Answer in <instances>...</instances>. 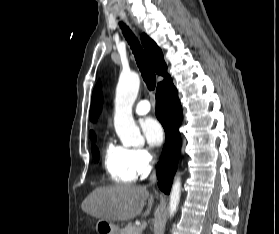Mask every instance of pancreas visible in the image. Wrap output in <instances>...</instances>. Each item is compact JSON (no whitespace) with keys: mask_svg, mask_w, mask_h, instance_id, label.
Instances as JSON below:
<instances>
[{"mask_svg":"<svg viewBox=\"0 0 279 234\" xmlns=\"http://www.w3.org/2000/svg\"><path fill=\"white\" fill-rule=\"evenodd\" d=\"M120 234H141V230L137 226L128 224L125 228L121 230Z\"/></svg>","mask_w":279,"mask_h":234,"instance_id":"pancreas-1","label":"pancreas"}]
</instances>
